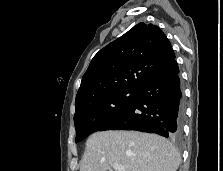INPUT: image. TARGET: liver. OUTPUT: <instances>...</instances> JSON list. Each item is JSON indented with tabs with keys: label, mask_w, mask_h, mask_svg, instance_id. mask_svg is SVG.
Returning a JSON list of instances; mask_svg holds the SVG:
<instances>
[{
	"label": "liver",
	"mask_w": 223,
	"mask_h": 171,
	"mask_svg": "<svg viewBox=\"0 0 223 171\" xmlns=\"http://www.w3.org/2000/svg\"><path fill=\"white\" fill-rule=\"evenodd\" d=\"M180 162L174 145L159 135L108 130L89 136L80 171H107L113 164L126 171H177Z\"/></svg>",
	"instance_id": "1"
}]
</instances>
